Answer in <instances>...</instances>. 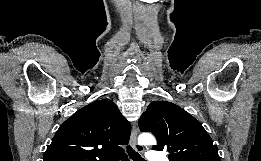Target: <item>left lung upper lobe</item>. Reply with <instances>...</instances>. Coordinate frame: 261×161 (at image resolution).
<instances>
[{"label":"left lung upper lobe","mask_w":261,"mask_h":161,"mask_svg":"<svg viewBox=\"0 0 261 161\" xmlns=\"http://www.w3.org/2000/svg\"><path fill=\"white\" fill-rule=\"evenodd\" d=\"M139 127L155 135L153 150L168 151L169 161H220L217 146L201 123L174 103L151 102Z\"/></svg>","instance_id":"1"}]
</instances>
